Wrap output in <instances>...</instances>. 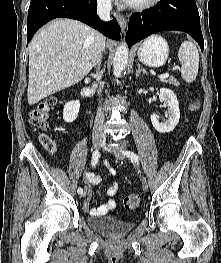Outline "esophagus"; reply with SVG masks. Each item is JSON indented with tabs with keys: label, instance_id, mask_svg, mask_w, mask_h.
<instances>
[{
	"label": "esophagus",
	"instance_id": "obj_1",
	"mask_svg": "<svg viewBox=\"0 0 221 263\" xmlns=\"http://www.w3.org/2000/svg\"><path fill=\"white\" fill-rule=\"evenodd\" d=\"M116 19L121 27V31L124 32L127 26V19L119 13H116Z\"/></svg>",
	"mask_w": 221,
	"mask_h": 263
}]
</instances>
